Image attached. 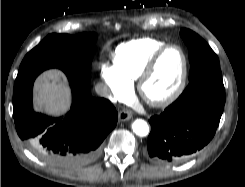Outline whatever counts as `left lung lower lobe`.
Here are the masks:
<instances>
[{"label": "left lung lower lobe", "instance_id": "left-lung-lower-lobe-1", "mask_svg": "<svg viewBox=\"0 0 245 187\" xmlns=\"http://www.w3.org/2000/svg\"><path fill=\"white\" fill-rule=\"evenodd\" d=\"M224 104L220 68L194 78L173 104L150 118L147 156L163 165L192 156L213 138Z\"/></svg>", "mask_w": 245, "mask_h": 187}]
</instances>
